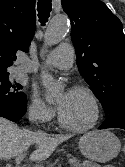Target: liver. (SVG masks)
<instances>
[{
	"instance_id": "obj_1",
	"label": "liver",
	"mask_w": 125,
	"mask_h": 167,
	"mask_svg": "<svg viewBox=\"0 0 125 167\" xmlns=\"http://www.w3.org/2000/svg\"><path fill=\"white\" fill-rule=\"evenodd\" d=\"M69 135L50 136L45 133L20 129L15 123L0 117V159L16 157L32 145L37 149L32 152L33 161L46 160Z\"/></svg>"
}]
</instances>
